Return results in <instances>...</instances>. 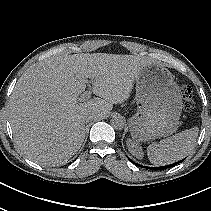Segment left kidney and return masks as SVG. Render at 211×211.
Instances as JSON below:
<instances>
[{
  "mask_svg": "<svg viewBox=\"0 0 211 211\" xmlns=\"http://www.w3.org/2000/svg\"><path fill=\"white\" fill-rule=\"evenodd\" d=\"M127 146H128V150L133 156H135L138 159H141L143 157V152L139 145H137L136 143L132 142L129 139L127 140Z\"/></svg>",
  "mask_w": 211,
  "mask_h": 211,
  "instance_id": "left-kidney-1",
  "label": "left kidney"
}]
</instances>
